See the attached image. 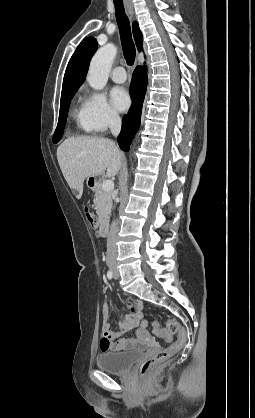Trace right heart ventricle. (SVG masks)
Segmentation results:
<instances>
[{"instance_id": "obj_1", "label": "right heart ventricle", "mask_w": 255, "mask_h": 418, "mask_svg": "<svg viewBox=\"0 0 255 418\" xmlns=\"http://www.w3.org/2000/svg\"><path fill=\"white\" fill-rule=\"evenodd\" d=\"M73 117L76 119L78 125L82 129L86 130L85 127H84V125H83L82 110L74 109V111H73ZM86 131H88V130H86Z\"/></svg>"}]
</instances>
